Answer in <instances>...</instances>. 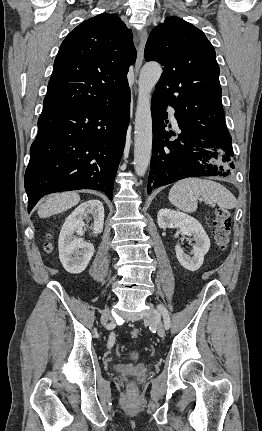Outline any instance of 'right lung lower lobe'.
I'll use <instances>...</instances> for the list:
<instances>
[{"instance_id": "98d812e1", "label": "right lung lower lobe", "mask_w": 262, "mask_h": 431, "mask_svg": "<svg viewBox=\"0 0 262 431\" xmlns=\"http://www.w3.org/2000/svg\"><path fill=\"white\" fill-rule=\"evenodd\" d=\"M129 104L130 89L102 106L43 109L25 172L28 212L53 192L95 189L112 200Z\"/></svg>"}]
</instances>
